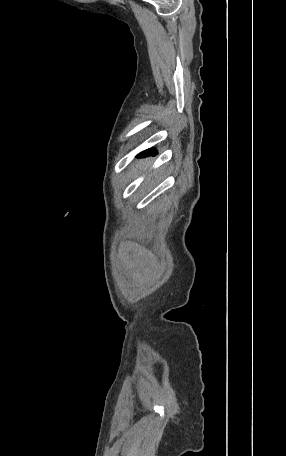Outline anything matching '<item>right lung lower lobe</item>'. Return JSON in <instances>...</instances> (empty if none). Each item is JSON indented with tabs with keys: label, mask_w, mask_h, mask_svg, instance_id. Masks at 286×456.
Here are the masks:
<instances>
[{
	"label": "right lung lower lobe",
	"mask_w": 286,
	"mask_h": 456,
	"mask_svg": "<svg viewBox=\"0 0 286 456\" xmlns=\"http://www.w3.org/2000/svg\"><path fill=\"white\" fill-rule=\"evenodd\" d=\"M151 153L152 154L155 153V150L154 149H152L151 151H150V149L145 150L142 153H140L137 157H145L147 155H151Z\"/></svg>",
	"instance_id": "1"
}]
</instances>
